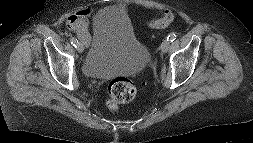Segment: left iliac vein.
<instances>
[{
  "label": "left iliac vein",
  "instance_id": "1",
  "mask_svg": "<svg viewBox=\"0 0 253 143\" xmlns=\"http://www.w3.org/2000/svg\"><path fill=\"white\" fill-rule=\"evenodd\" d=\"M169 48H170V44H169L168 41H164V42L161 44V51H162L163 53L168 52Z\"/></svg>",
  "mask_w": 253,
  "mask_h": 143
}]
</instances>
